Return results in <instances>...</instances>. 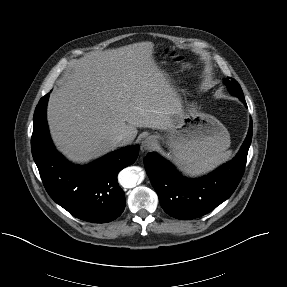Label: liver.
I'll return each instance as SVG.
<instances>
[{"instance_id": "1", "label": "liver", "mask_w": 287, "mask_h": 287, "mask_svg": "<svg viewBox=\"0 0 287 287\" xmlns=\"http://www.w3.org/2000/svg\"><path fill=\"white\" fill-rule=\"evenodd\" d=\"M153 49L152 42H139L71 63L47 107L52 139L69 160L89 162L113 150L116 135L131 143L138 127L169 130L178 122L181 97Z\"/></svg>"}]
</instances>
